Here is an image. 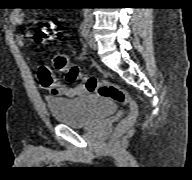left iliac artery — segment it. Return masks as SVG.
<instances>
[{"label": "left iliac artery", "instance_id": "44dca946", "mask_svg": "<svg viewBox=\"0 0 192 180\" xmlns=\"http://www.w3.org/2000/svg\"><path fill=\"white\" fill-rule=\"evenodd\" d=\"M91 24H92V18L90 15H86L85 20L82 24V29H81V33L82 36L84 38H87L89 32H90V28H91Z\"/></svg>", "mask_w": 192, "mask_h": 180}]
</instances>
